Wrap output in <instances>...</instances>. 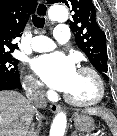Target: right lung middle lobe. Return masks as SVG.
Instances as JSON below:
<instances>
[{
    "label": "right lung middle lobe",
    "instance_id": "dd1d6c3e",
    "mask_svg": "<svg viewBox=\"0 0 117 136\" xmlns=\"http://www.w3.org/2000/svg\"><path fill=\"white\" fill-rule=\"evenodd\" d=\"M19 61L11 56V54L0 55V75L20 76L18 72Z\"/></svg>",
    "mask_w": 117,
    "mask_h": 136
}]
</instances>
